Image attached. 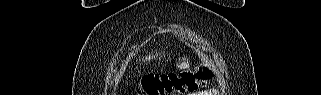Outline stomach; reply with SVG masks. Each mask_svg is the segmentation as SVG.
<instances>
[{"label":"stomach","instance_id":"stomach-1","mask_svg":"<svg viewBox=\"0 0 321 95\" xmlns=\"http://www.w3.org/2000/svg\"><path fill=\"white\" fill-rule=\"evenodd\" d=\"M176 68L179 72H184L190 70L192 67L190 62L188 61V58L183 56L179 57L178 60H176Z\"/></svg>","mask_w":321,"mask_h":95}]
</instances>
